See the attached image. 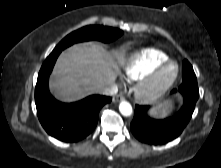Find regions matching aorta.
Here are the masks:
<instances>
[{
	"instance_id": "obj_1",
	"label": "aorta",
	"mask_w": 221,
	"mask_h": 168,
	"mask_svg": "<svg viewBox=\"0 0 221 168\" xmlns=\"http://www.w3.org/2000/svg\"><path fill=\"white\" fill-rule=\"evenodd\" d=\"M119 111L123 116H130L132 114V106L127 101H122L119 104Z\"/></svg>"
}]
</instances>
